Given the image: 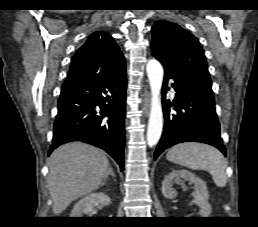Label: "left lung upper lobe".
<instances>
[{"mask_svg": "<svg viewBox=\"0 0 258 227\" xmlns=\"http://www.w3.org/2000/svg\"><path fill=\"white\" fill-rule=\"evenodd\" d=\"M152 55L165 68L179 75L211 84L204 51L187 30L168 21H157L152 27Z\"/></svg>", "mask_w": 258, "mask_h": 227, "instance_id": "5c2ea615", "label": "left lung upper lobe"}]
</instances>
